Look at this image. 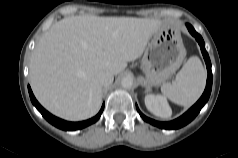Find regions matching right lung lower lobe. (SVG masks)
<instances>
[{
  "label": "right lung lower lobe",
  "mask_w": 238,
  "mask_h": 158,
  "mask_svg": "<svg viewBox=\"0 0 238 158\" xmlns=\"http://www.w3.org/2000/svg\"><path fill=\"white\" fill-rule=\"evenodd\" d=\"M28 91H29L30 99H31L33 105L39 110V112L42 114V116L48 122H50L52 125L56 126L57 128H60L62 130L82 129V128L96 122L100 118V116L103 112V109H104V104H103L100 112L95 117H93L89 120L82 121V122H68V121H64L62 119H59V118L53 116L52 114H50L48 111H46L35 99L30 86H28Z\"/></svg>",
  "instance_id": "98d812e1"
}]
</instances>
